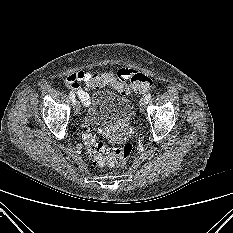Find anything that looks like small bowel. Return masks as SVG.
<instances>
[{"instance_id": "1", "label": "small bowel", "mask_w": 233, "mask_h": 233, "mask_svg": "<svg viewBox=\"0 0 233 233\" xmlns=\"http://www.w3.org/2000/svg\"><path fill=\"white\" fill-rule=\"evenodd\" d=\"M133 74L134 71L129 68H121L117 72V76L123 81L130 78ZM91 76L92 73L84 70H79L71 73L65 81L67 87L73 90L77 94L81 102L85 105H88L90 102L88 89L90 88L89 82ZM82 83L84 84V86L81 85Z\"/></svg>"}]
</instances>
